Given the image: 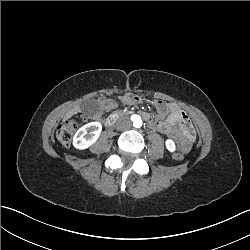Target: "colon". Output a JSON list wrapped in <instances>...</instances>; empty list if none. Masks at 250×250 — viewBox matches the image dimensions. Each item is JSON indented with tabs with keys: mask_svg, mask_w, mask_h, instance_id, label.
<instances>
[{
	"mask_svg": "<svg viewBox=\"0 0 250 250\" xmlns=\"http://www.w3.org/2000/svg\"><path fill=\"white\" fill-rule=\"evenodd\" d=\"M127 98H131V103H142V98H139V93H127ZM156 105H167V100H156ZM91 110L96 109V105H90ZM89 118H83V122H88ZM78 126V122L74 118L65 119L56 130L57 140L64 146H68L71 141L73 134ZM174 161L183 160L184 154L182 152H174L171 155Z\"/></svg>",
	"mask_w": 250,
	"mask_h": 250,
	"instance_id": "1",
	"label": "colon"
}]
</instances>
